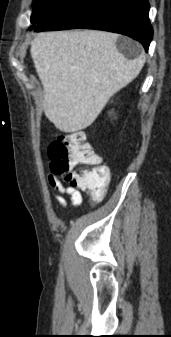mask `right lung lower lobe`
Listing matches in <instances>:
<instances>
[{"label":"right lung lower lobe","instance_id":"obj_1","mask_svg":"<svg viewBox=\"0 0 171 337\" xmlns=\"http://www.w3.org/2000/svg\"><path fill=\"white\" fill-rule=\"evenodd\" d=\"M148 0H69L34 31L98 29L130 36L146 51L153 37Z\"/></svg>","mask_w":171,"mask_h":337}]
</instances>
